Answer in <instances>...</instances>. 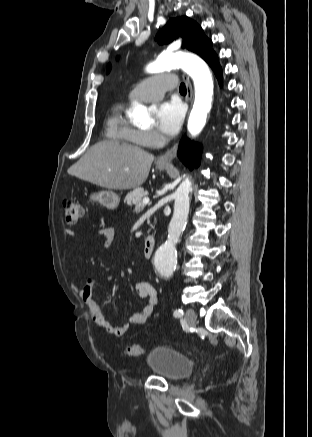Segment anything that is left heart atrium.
Returning a JSON list of instances; mask_svg holds the SVG:
<instances>
[{"label": "left heart atrium", "instance_id": "1", "mask_svg": "<svg viewBox=\"0 0 312 437\" xmlns=\"http://www.w3.org/2000/svg\"><path fill=\"white\" fill-rule=\"evenodd\" d=\"M183 117V107L176 101L164 102L156 110L157 127L166 135H174L178 132Z\"/></svg>", "mask_w": 312, "mask_h": 437}]
</instances>
